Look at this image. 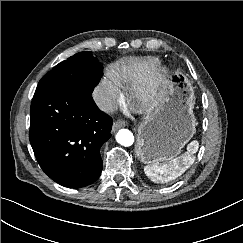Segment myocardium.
<instances>
[{
	"instance_id": "1",
	"label": "myocardium",
	"mask_w": 243,
	"mask_h": 243,
	"mask_svg": "<svg viewBox=\"0 0 243 243\" xmlns=\"http://www.w3.org/2000/svg\"><path fill=\"white\" fill-rule=\"evenodd\" d=\"M168 75L169 69L157 64L144 79L131 88V101L140 108L153 107L160 97Z\"/></svg>"
}]
</instances>
